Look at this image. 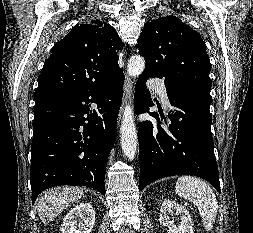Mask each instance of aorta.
Listing matches in <instances>:
<instances>
[{"mask_svg": "<svg viewBox=\"0 0 253 233\" xmlns=\"http://www.w3.org/2000/svg\"><path fill=\"white\" fill-rule=\"evenodd\" d=\"M145 68V60L140 55L132 56L128 61L127 71L131 77H138ZM121 147L129 160L135 158L138 146L137 131L133 118V109L126 105L121 123Z\"/></svg>", "mask_w": 253, "mask_h": 233, "instance_id": "1", "label": "aorta"}]
</instances>
